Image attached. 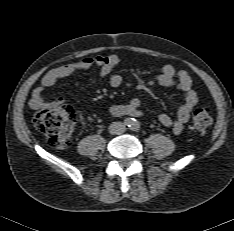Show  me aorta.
Wrapping results in <instances>:
<instances>
[{
	"label": "aorta",
	"instance_id": "obj_1",
	"mask_svg": "<svg viewBox=\"0 0 234 231\" xmlns=\"http://www.w3.org/2000/svg\"><path fill=\"white\" fill-rule=\"evenodd\" d=\"M129 127L132 130H138L140 127V123L137 120L133 119L129 122Z\"/></svg>",
	"mask_w": 234,
	"mask_h": 231
}]
</instances>
